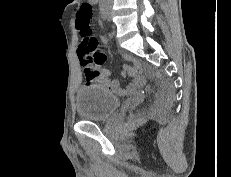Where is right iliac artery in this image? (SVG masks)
Listing matches in <instances>:
<instances>
[{
    "label": "right iliac artery",
    "mask_w": 231,
    "mask_h": 177,
    "mask_svg": "<svg viewBox=\"0 0 231 177\" xmlns=\"http://www.w3.org/2000/svg\"><path fill=\"white\" fill-rule=\"evenodd\" d=\"M100 13H101L102 18L104 20H106V18H107V3L105 1H103L101 6H100Z\"/></svg>",
    "instance_id": "1"
}]
</instances>
